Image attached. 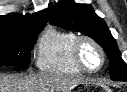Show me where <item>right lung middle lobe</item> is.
<instances>
[{"instance_id":"dd1d6c3e","label":"right lung middle lobe","mask_w":127,"mask_h":92,"mask_svg":"<svg viewBox=\"0 0 127 92\" xmlns=\"http://www.w3.org/2000/svg\"><path fill=\"white\" fill-rule=\"evenodd\" d=\"M36 28L18 34H0V66H26L38 34Z\"/></svg>"}]
</instances>
